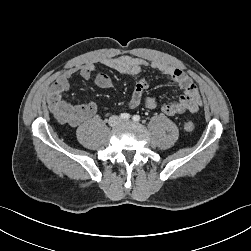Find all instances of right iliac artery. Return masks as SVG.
<instances>
[{"label": "right iliac artery", "mask_w": 251, "mask_h": 251, "mask_svg": "<svg viewBox=\"0 0 251 251\" xmlns=\"http://www.w3.org/2000/svg\"><path fill=\"white\" fill-rule=\"evenodd\" d=\"M120 118L124 120H128L130 118V114L128 113H121Z\"/></svg>", "instance_id": "right-iliac-artery-1"}]
</instances>
